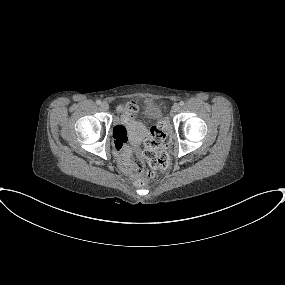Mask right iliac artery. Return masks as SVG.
<instances>
[{
    "mask_svg": "<svg viewBox=\"0 0 285 285\" xmlns=\"http://www.w3.org/2000/svg\"><path fill=\"white\" fill-rule=\"evenodd\" d=\"M96 104H97V105H100V104H101V101H100V100H97V101H96Z\"/></svg>",
    "mask_w": 285,
    "mask_h": 285,
    "instance_id": "82829eb1",
    "label": "right iliac artery"
}]
</instances>
